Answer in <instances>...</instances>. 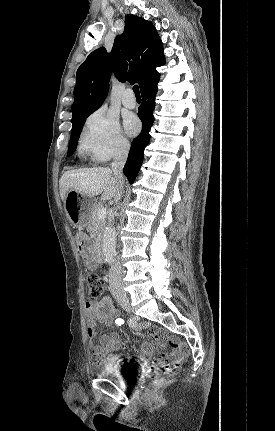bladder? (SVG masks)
Listing matches in <instances>:
<instances>
[{"mask_svg":"<svg viewBox=\"0 0 275 431\" xmlns=\"http://www.w3.org/2000/svg\"><path fill=\"white\" fill-rule=\"evenodd\" d=\"M128 363H118L114 362L111 364L103 365L101 369V374L109 375L117 380L118 383L127 382L128 372H129Z\"/></svg>","mask_w":275,"mask_h":431,"instance_id":"obj_1","label":"bladder"}]
</instances>
